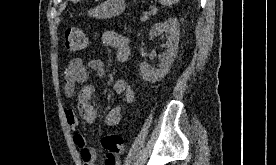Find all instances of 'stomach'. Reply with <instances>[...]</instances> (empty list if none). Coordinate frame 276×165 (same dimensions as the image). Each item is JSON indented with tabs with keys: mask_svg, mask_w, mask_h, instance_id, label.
Returning a JSON list of instances; mask_svg holds the SVG:
<instances>
[{
	"mask_svg": "<svg viewBox=\"0 0 276 165\" xmlns=\"http://www.w3.org/2000/svg\"><path fill=\"white\" fill-rule=\"evenodd\" d=\"M124 9V0H106L93 9H90L88 15L98 19H106L120 15Z\"/></svg>",
	"mask_w": 276,
	"mask_h": 165,
	"instance_id": "obj_1",
	"label": "stomach"
}]
</instances>
